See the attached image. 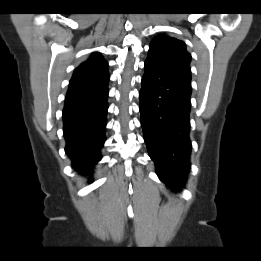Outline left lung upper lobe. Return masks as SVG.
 Wrapping results in <instances>:
<instances>
[{
  "instance_id": "1",
  "label": "left lung upper lobe",
  "mask_w": 261,
  "mask_h": 261,
  "mask_svg": "<svg viewBox=\"0 0 261 261\" xmlns=\"http://www.w3.org/2000/svg\"><path fill=\"white\" fill-rule=\"evenodd\" d=\"M146 62L191 78V54L187 52L185 43L176 38L166 35L156 36L150 43Z\"/></svg>"
}]
</instances>
